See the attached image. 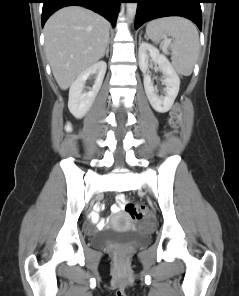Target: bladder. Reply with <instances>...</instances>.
<instances>
[{
	"label": "bladder",
	"mask_w": 239,
	"mask_h": 296,
	"mask_svg": "<svg viewBox=\"0 0 239 296\" xmlns=\"http://www.w3.org/2000/svg\"><path fill=\"white\" fill-rule=\"evenodd\" d=\"M147 240L148 236L146 234L139 233L132 228L124 231L108 229L92 236V242L96 246H106L117 243L140 244L146 242Z\"/></svg>",
	"instance_id": "bladder-1"
}]
</instances>
